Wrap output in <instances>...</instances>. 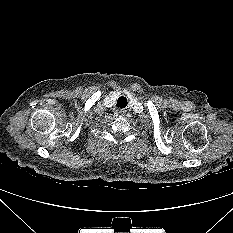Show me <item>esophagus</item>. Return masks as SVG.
Instances as JSON below:
<instances>
[{
	"mask_svg": "<svg viewBox=\"0 0 233 233\" xmlns=\"http://www.w3.org/2000/svg\"><path fill=\"white\" fill-rule=\"evenodd\" d=\"M125 112H126V111H125L124 109H120V110H119V113H120L121 115H124Z\"/></svg>",
	"mask_w": 233,
	"mask_h": 233,
	"instance_id": "esophagus-1",
	"label": "esophagus"
}]
</instances>
